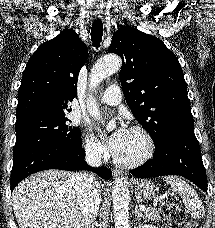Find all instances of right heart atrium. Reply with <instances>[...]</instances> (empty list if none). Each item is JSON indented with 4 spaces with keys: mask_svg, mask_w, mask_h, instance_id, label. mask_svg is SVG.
I'll return each mask as SVG.
<instances>
[{
    "mask_svg": "<svg viewBox=\"0 0 215 228\" xmlns=\"http://www.w3.org/2000/svg\"><path fill=\"white\" fill-rule=\"evenodd\" d=\"M80 138L87 159L93 162H100L106 157V146L97 140L88 128L82 129Z\"/></svg>",
    "mask_w": 215,
    "mask_h": 228,
    "instance_id": "obj_1",
    "label": "right heart atrium"
}]
</instances>
